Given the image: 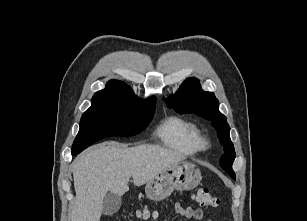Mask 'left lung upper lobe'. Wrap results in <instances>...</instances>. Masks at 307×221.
Here are the masks:
<instances>
[{
    "mask_svg": "<svg viewBox=\"0 0 307 221\" xmlns=\"http://www.w3.org/2000/svg\"><path fill=\"white\" fill-rule=\"evenodd\" d=\"M164 101L177 112H195L197 115L213 122L225 151L220 159V165L235 179L232 164L236 154L229 136L230 127L226 117L218 110L219 102L214 93L203 91L197 79L188 78L182 83L175 96H170Z\"/></svg>",
    "mask_w": 307,
    "mask_h": 221,
    "instance_id": "5c2ea615",
    "label": "left lung upper lobe"
}]
</instances>
